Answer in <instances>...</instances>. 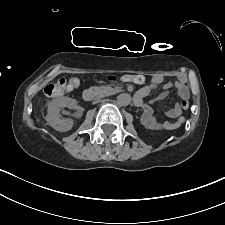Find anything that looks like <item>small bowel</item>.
Segmentation results:
<instances>
[{
  "instance_id": "c3829d8e",
  "label": "small bowel",
  "mask_w": 225,
  "mask_h": 225,
  "mask_svg": "<svg viewBox=\"0 0 225 225\" xmlns=\"http://www.w3.org/2000/svg\"><path fill=\"white\" fill-rule=\"evenodd\" d=\"M163 83V78L160 75L153 77L150 85L141 88L135 95L138 102L137 105L143 107L142 123L151 130H171L177 128L183 121L182 110L179 105H176L172 110L168 111L166 115L172 118V121H158L154 116L153 107L151 104L144 103V98L148 96L153 90ZM172 88H176L180 98L189 97V89L186 85V80L183 77H178L175 80L166 82L162 85V92L159 99L165 98Z\"/></svg>"
}]
</instances>
